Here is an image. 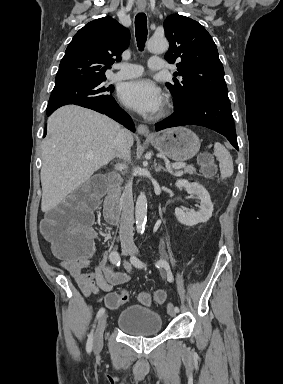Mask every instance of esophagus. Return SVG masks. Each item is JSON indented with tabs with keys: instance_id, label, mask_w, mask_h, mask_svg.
Wrapping results in <instances>:
<instances>
[{
	"instance_id": "1",
	"label": "esophagus",
	"mask_w": 283,
	"mask_h": 384,
	"mask_svg": "<svg viewBox=\"0 0 283 384\" xmlns=\"http://www.w3.org/2000/svg\"><path fill=\"white\" fill-rule=\"evenodd\" d=\"M145 8H146L145 6H138V9L140 11H144ZM137 132H138V134L144 135L145 137H150V138L154 137V135L150 133L149 128L147 127V125L140 124L137 127Z\"/></svg>"
}]
</instances>
